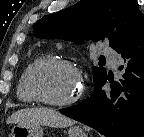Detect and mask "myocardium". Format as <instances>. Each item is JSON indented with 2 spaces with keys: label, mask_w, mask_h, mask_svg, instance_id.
Here are the masks:
<instances>
[{
  "label": "myocardium",
  "mask_w": 144,
  "mask_h": 137,
  "mask_svg": "<svg viewBox=\"0 0 144 137\" xmlns=\"http://www.w3.org/2000/svg\"><path fill=\"white\" fill-rule=\"evenodd\" d=\"M56 66H61V67H66L77 75L79 79V89L77 93L70 99L65 100V101H54L46 98L41 94V92L38 90L37 85H36V79L38 74L49 67H56ZM27 89L30 95L34 98L35 101L40 102L42 104L52 106V107H67L75 104L79 99L81 98L83 94V80L81 73L76 65H74L72 62L64 59H59V58H44L37 62L32 69L29 72L28 78H27Z\"/></svg>",
  "instance_id": "obj_1"
}]
</instances>
